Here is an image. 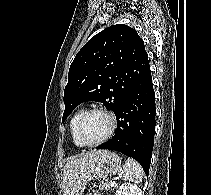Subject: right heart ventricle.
Listing matches in <instances>:
<instances>
[{
    "mask_svg": "<svg viewBox=\"0 0 211 195\" xmlns=\"http://www.w3.org/2000/svg\"><path fill=\"white\" fill-rule=\"evenodd\" d=\"M83 111H77L73 114L71 120H70V131H71V136H72V140H73V143L77 146V147H82L80 145V143L78 142L77 138H76V135H75V128H76V122L80 116V114L82 113Z\"/></svg>",
    "mask_w": 211,
    "mask_h": 195,
    "instance_id": "obj_1",
    "label": "right heart ventricle"
}]
</instances>
